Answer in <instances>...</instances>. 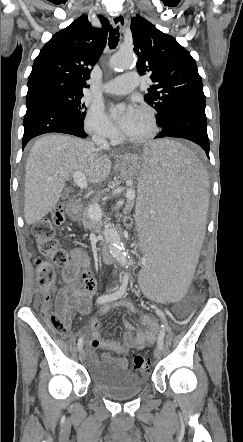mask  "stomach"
<instances>
[{"label": "stomach", "instance_id": "0dacf381", "mask_svg": "<svg viewBox=\"0 0 243 442\" xmlns=\"http://www.w3.org/2000/svg\"><path fill=\"white\" fill-rule=\"evenodd\" d=\"M140 157L133 154L124 155L119 161L118 166L122 179H133L136 177V167Z\"/></svg>", "mask_w": 243, "mask_h": 442}]
</instances>
